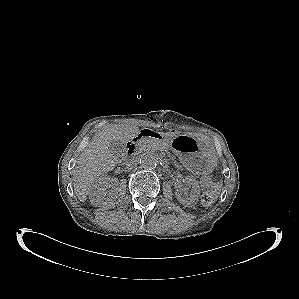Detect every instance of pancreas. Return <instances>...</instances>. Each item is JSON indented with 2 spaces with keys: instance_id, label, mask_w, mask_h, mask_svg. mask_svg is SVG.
Masks as SVG:
<instances>
[{
  "instance_id": "cf45deb5",
  "label": "pancreas",
  "mask_w": 299,
  "mask_h": 299,
  "mask_svg": "<svg viewBox=\"0 0 299 299\" xmlns=\"http://www.w3.org/2000/svg\"><path fill=\"white\" fill-rule=\"evenodd\" d=\"M140 145L145 150H159V149H166L168 146L164 145L158 141H150L143 139L140 142Z\"/></svg>"
}]
</instances>
